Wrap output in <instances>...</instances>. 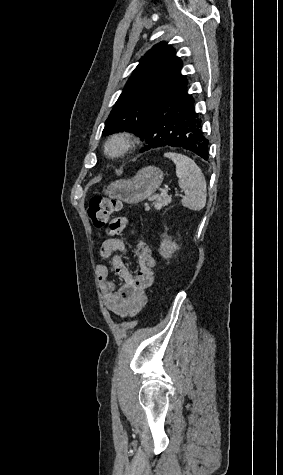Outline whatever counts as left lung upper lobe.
I'll return each instance as SVG.
<instances>
[{
    "label": "left lung upper lobe",
    "instance_id": "obj_1",
    "mask_svg": "<svg viewBox=\"0 0 283 475\" xmlns=\"http://www.w3.org/2000/svg\"><path fill=\"white\" fill-rule=\"evenodd\" d=\"M172 46L155 45L140 60L109 117L103 134L129 130L139 135L153 108L186 78Z\"/></svg>",
    "mask_w": 283,
    "mask_h": 475
}]
</instances>
